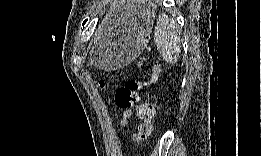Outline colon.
I'll list each match as a JSON object with an SVG mask.
<instances>
[{"label": "colon", "mask_w": 261, "mask_h": 156, "mask_svg": "<svg viewBox=\"0 0 261 156\" xmlns=\"http://www.w3.org/2000/svg\"><path fill=\"white\" fill-rule=\"evenodd\" d=\"M161 68L159 64H153L144 79H131L118 88L115 93V102L119 108H134L139 119L137 132L133 135L132 141L141 143L145 141L152 132V120L154 117L153 107L148 103L140 102V92L149 85L156 82L160 74ZM100 89L107 87L106 82L100 80L96 83Z\"/></svg>", "instance_id": "1"}]
</instances>
